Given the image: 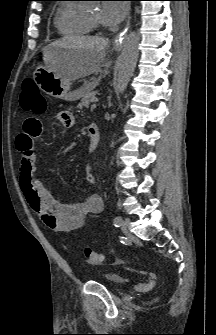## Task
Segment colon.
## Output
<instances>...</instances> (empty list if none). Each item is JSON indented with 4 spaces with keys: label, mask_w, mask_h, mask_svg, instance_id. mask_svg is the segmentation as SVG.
Here are the masks:
<instances>
[{
    "label": "colon",
    "mask_w": 216,
    "mask_h": 335,
    "mask_svg": "<svg viewBox=\"0 0 216 335\" xmlns=\"http://www.w3.org/2000/svg\"><path fill=\"white\" fill-rule=\"evenodd\" d=\"M20 104L27 112H32L34 114H42L45 112L47 108L46 99L34 80L27 79L23 82ZM83 253L86 262L90 265H98L103 261V255L92 248H85Z\"/></svg>",
    "instance_id": "obj_1"
}]
</instances>
